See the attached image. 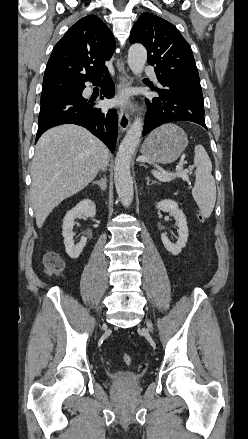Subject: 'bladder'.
<instances>
[{
  "label": "bladder",
  "mask_w": 248,
  "mask_h": 439,
  "mask_svg": "<svg viewBox=\"0 0 248 439\" xmlns=\"http://www.w3.org/2000/svg\"><path fill=\"white\" fill-rule=\"evenodd\" d=\"M142 376L139 373L131 371H117L110 374L111 383L114 386H135L141 381Z\"/></svg>",
  "instance_id": "bladder-1"
}]
</instances>
